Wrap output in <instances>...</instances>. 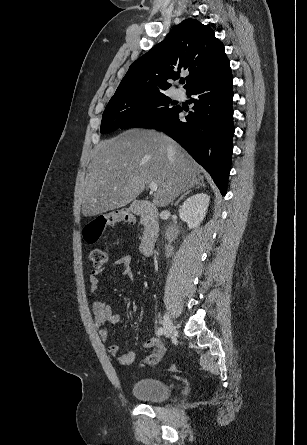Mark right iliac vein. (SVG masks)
I'll return each mask as SVG.
<instances>
[{
	"label": "right iliac vein",
	"instance_id": "obj_1",
	"mask_svg": "<svg viewBox=\"0 0 307 445\" xmlns=\"http://www.w3.org/2000/svg\"><path fill=\"white\" fill-rule=\"evenodd\" d=\"M163 329H164V335L167 338L170 337L172 335V333L174 332V325H173L171 316L168 312H166L164 315Z\"/></svg>",
	"mask_w": 307,
	"mask_h": 445
}]
</instances>
